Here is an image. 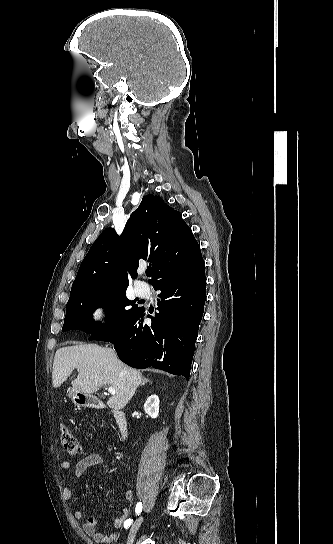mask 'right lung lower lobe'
Returning a JSON list of instances; mask_svg holds the SVG:
<instances>
[{
	"label": "right lung lower lobe",
	"instance_id": "obj_1",
	"mask_svg": "<svg viewBox=\"0 0 333 544\" xmlns=\"http://www.w3.org/2000/svg\"><path fill=\"white\" fill-rule=\"evenodd\" d=\"M205 285L204 263L190 273L167 277L154 286L161 293L159 313L151 317V325L144 322L143 308L121 326L89 340L112 342L118 357L131 367H153L189 378Z\"/></svg>",
	"mask_w": 333,
	"mask_h": 544
}]
</instances>
